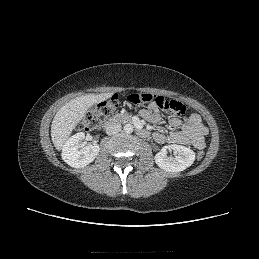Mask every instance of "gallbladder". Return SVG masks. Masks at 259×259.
Wrapping results in <instances>:
<instances>
[{
	"label": "gallbladder",
	"instance_id": "bac80fb5",
	"mask_svg": "<svg viewBox=\"0 0 259 259\" xmlns=\"http://www.w3.org/2000/svg\"><path fill=\"white\" fill-rule=\"evenodd\" d=\"M96 111V104L89 108V112L94 113Z\"/></svg>",
	"mask_w": 259,
	"mask_h": 259
}]
</instances>
